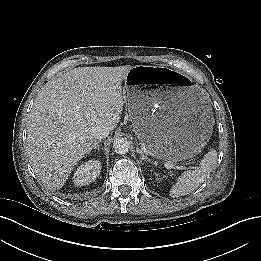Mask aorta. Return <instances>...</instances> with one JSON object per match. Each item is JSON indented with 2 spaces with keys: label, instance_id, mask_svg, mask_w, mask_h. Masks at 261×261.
<instances>
[{
  "label": "aorta",
  "instance_id": "aorta-1",
  "mask_svg": "<svg viewBox=\"0 0 261 261\" xmlns=\"http://www.w3.org/2000/svg\"><path fill=\"white\" fill-rule=\"evenodd\" d=\"M113 148L117 154H126L130 149V143L126 138L119 137L114 140Z\"/></svg>",
  "mask_w": 261,
  "mask_h": 261
}]
</instances>
